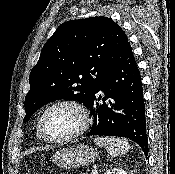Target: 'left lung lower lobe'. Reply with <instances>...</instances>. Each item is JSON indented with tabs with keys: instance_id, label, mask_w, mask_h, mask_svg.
<instances>
[{
	"instance_id": "1",
	"label": "left lung lower lobe",
	"mask_w": 175,
	"mask_h": 174,
	"mask_svg": "<svg viewBox=\"0 0 175 174\" xmlns=\"http://www.w3.org/2000/svg\"><path fill=\"white\" fill-rule=\"evenodd\" d=\"M99 91L105 95L98 96ZM106 101L100 104V100ZM94 116L88 136H118L135 141L148 155L141 76L130 44L94 89L87 105Z\"/></svg>"
}]
</instances>
